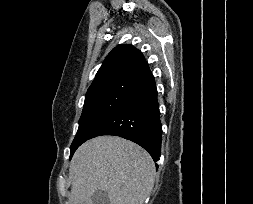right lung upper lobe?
Segmentation results:
<instances>
[{
    "instance_id": "1",
    "label": "right lung upper lobe",
    "mask_w": 253,
    "mask_h": 204,
    "mask_svg": "<svg viewBox=\"0 0 253 204\" xmlns=\"http://www.w3.org/2000/svg\"><path fill=\"white\" fill-rule=\"evenodd\" d=\"M151 73L142 53L132 45H118L105 58L89 90L120 81L139 83Z\"/></svg>"
}]
</instances>
